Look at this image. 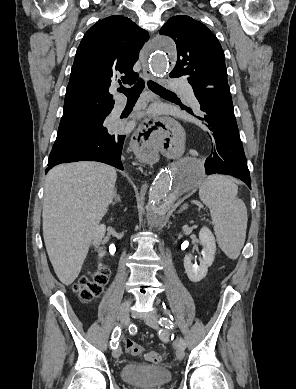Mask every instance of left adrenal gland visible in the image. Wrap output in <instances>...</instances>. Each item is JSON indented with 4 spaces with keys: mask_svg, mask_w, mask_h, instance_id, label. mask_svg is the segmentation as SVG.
Listing matches in <instances>:
<instances>
[{
    "mask_svg": "<svg viewBox=\"0 0 296 389\" xmlns=\"http://www.w3.org/2000/svg\"><path fill=\"white\" fill-rule=\"evenodd\" d=\"M188 207V204L185 203L183 206H181V208L178 210V213H181L182 211H184L185 209H187Z\"/></svg>",
    "mask_w": 296,
    "mask_h": 389,
    "instance_id": "obj_1",
    "label": "left adrenal gland"
}]
</instances>
